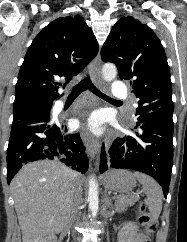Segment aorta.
I'll use <instances>...</instances> for the list:
<instances>
[{"label": "aorta", "instance_id": "1", "mask_svg": "<svg viewBox=\"0 0 187 242\" xmlns=\"http://www.w3.org/2000/svg\"><path fill=\"white\" fill-rule=\"evenodd\" d=\"M102 75L105 81H113L117 75L116 66L111 63L105 64L102 68ZM88 201L90 212L94 218L99 208L98 183L94 178L89 180Z\"/></svg>", "mask_w": 187, "mask_h": 242}]
</instances>
